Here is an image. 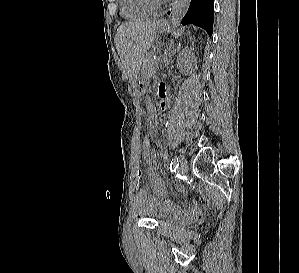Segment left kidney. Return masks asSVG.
Returning a JSON list of instances; mask_svg holds the SVG:
<instances>
[{"label":"left kidney","mask_w":299,"mask_h":273,"mask_svg":"<svg viewBox=\"0 0 299 273\" xmlns=\"http://www.w3.org/2000/svg\"><path fill=\"white\" fill-rule=\"evenodd\" d=\"M196 65V57L192 48L184 49L177 57L176 67L180 72L189 74Z\"/></svg>","instance_id":"1"}]
</instances>
